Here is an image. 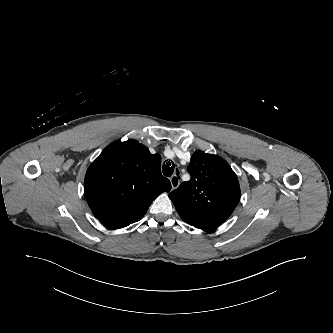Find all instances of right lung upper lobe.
Wrapping results in <instances>:
<instances>
[{
  "instance_id": "right-lung-upper-lobe-1",
  "label": "right lung upper lobe",
  "mask_w": 333,
  "mask_h": 333,
  "mask_svg": "<svg viewBox=\"0 0 333 333\" xmlns=\"http://www.w3.org/2000/svg\"><path fill=\"white\" fill-rule=\"evenodd\" d=\"M171 189L161 174V157L136 140L113 142L89 166L84 194L93 214L107 227L139 221L153 200Z\"/></svg>"
}]
</instances>
